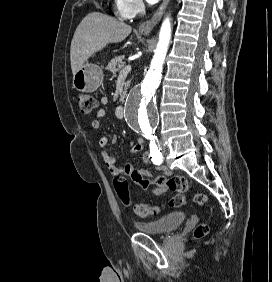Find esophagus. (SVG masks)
Segmentation results:
<instances>
[{"instance_id":"esophagus-1","label":"esophagus","mask_w":272,"mask_h":282,"mask_svg":"<svg viewBox=\"0 0 272 282\" xmlns=\"http://www.w3.org/2000/svg\"><path fill=\"white\" fill-rule=\"evenodd\" d=\"M169 1L170 0H163L162 4L159 6V8L157 9V11L153 15V17L150 20L145 21V22H143L139 25V27H138L139 33L144 34V35H148L153 30V28L161 20V17L163 15Z\"/></svg>"}]
</instances>
